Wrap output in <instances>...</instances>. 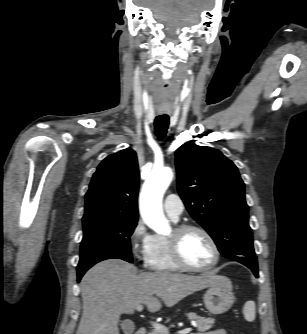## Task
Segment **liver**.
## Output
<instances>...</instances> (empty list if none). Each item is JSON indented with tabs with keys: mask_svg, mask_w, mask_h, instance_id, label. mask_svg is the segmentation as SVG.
<instances>
[{
	"mask_svg": "<svg viewBox=\"0 0 307 334\" xmlns=\"http://www.w3.org/2000/svg\"><path fill=\"white\" fill-rule=\"evenodd\" d=\"M214 271L200 276L171 272H142L120 259L93 266L81 280L83 312L76 334H119L121 314L138 305L148 311L172 307L188 295L216 284Z\"/></svg>",
	"mask_w": 307,
	"mask_h": 334,
	"instance_id": "6515ba94",
	"label": "liver"
}]
</instances>
